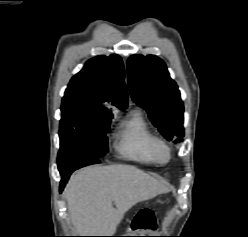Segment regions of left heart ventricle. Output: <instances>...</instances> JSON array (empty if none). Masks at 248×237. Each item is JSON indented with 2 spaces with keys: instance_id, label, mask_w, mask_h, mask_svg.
Returning <instances> with one entry per match:
<instances>
[{
  "instance_id": "obj_1",
  "label": "left heart ventricle",
  "mask_w": 248,
  "mask_h": 237,
  "mask_svg": "<svg viewBox=\"0 0 248 237\" xmlns=\"http://www.w3.org/2000/svg\"><path fill=\"white\" fill-rule=\"evenodd\" d=\"M159 155L161 156V157H164L165 156V152H164V150H162V149H159Z\"/></svg>"
}]
</instances>
